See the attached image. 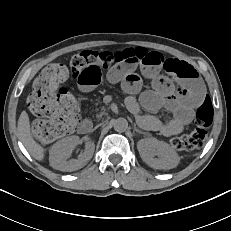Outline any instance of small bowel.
Listing matches in <instances>:
<instances>
[{
    "label": "small bowel",
    "instance_id": "1",
    "mask_svg": "<svg viewBox=\"0 0 231 231\" xmlns=\"http://www.w3.org/2000/svg\"><path fill=\"white\" fill-rule=\"evenodd\" d=\"M155 57L144 63H122L111 70L106 78L111 83H121L122 89L130 94L126 100L127 107L136 114L142 127L158 131L166 136L179 134L190 123L194 109L203 101L204 85L198 72L190 64L177 60L165 59L162 55L152 52ZM140 68L142 75L152 81V89L140 95L139 102L133 96L142 88V77L135 71ZM165 71L174 77L179 86H174L169 78L161 74ZM102 80L101 68L87 67L78 77V86L81 91L94 89ZM140 106L148 111H157L166 108L172 117L161 121L153 115H140Z\"/></svg>",
    "mask_w": 231,
    "mask_h": 231
}]
</instances>
